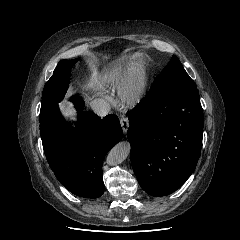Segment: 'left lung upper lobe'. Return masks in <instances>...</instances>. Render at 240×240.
<instances>
[{
	"label": "left lung upper lobe",
	"mask_w": 240,
	"mask_h": 240,
	"mask_svg": "<svg viewBox=\"0 0 240 240\" xmlns=\"http://www.w3.org/2000/svg\"><path fill=\"white\" fill-rule=\"evenodd\" d=\"M169 86L197 87L175 55L154 80L149 92L153 93Z\"/></svg>",
	"instance_id": "left-lung-upper-lobe-1"
}]
</instances>
